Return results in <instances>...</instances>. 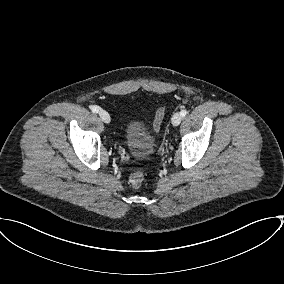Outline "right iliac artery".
I'll use <instances>...</instances> for the list:
<instances>
[{
	"instance_id": "right-iliac-artery-1",
	"label": "right iliac artery",
	"mask_w": 284,
	"mask_h": 284,
	"mask_svg": "<svg viewBox=\"0 0 284 284\" xmlns=\"http://www.w3.org/2000/svg\"><path fill=\"white\" fill-rule=\"evenodd\" d=\"M91 110H92V112H94V113H98L99 110H100V108H99L98 106H92V107H91Z\"/></svg>"
}]
</instances>
